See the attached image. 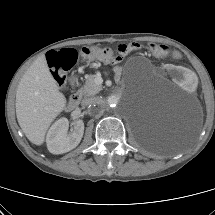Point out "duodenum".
I'll return each instance as SVG.
<instances>
[{
    "label": "duodenum",
    "instance_id": "1",
    "mask_svg": "<svg viewBox=\"0 0 215 215\" xmlns=\"http://www.w3.org/2000/svg\"><path fill=\"white\" fill-rule=\"evenodd\" d=\"M80 99H81V96L79 93L72 94L67 102V106H66L67 110L69 111L74 110L78 106Z\"/></svg>",
    "mask_w": 215,
    "mask_h": 215
}]
</instances>
